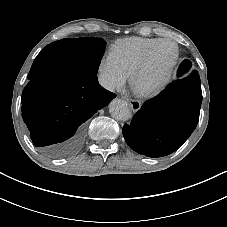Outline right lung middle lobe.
Wrapping results in <instances>:
<instances>
[{"label":"right lung middle lobe","mask_w":227,"mask_h":227,"mask_svg":"<svg viewBox=\"0 0 227 227\" xmlns=\"http://www.w3.org/2000/svg\"><path fill=\"white\" fill-rule=\"evenodd\" d=\"M73 46L62 62V66L75 75L96 76L104 53L106 42L103 39L88 37L72 39ZM45 76L39 69L32 67L28 79Z\"/></svg>","instance_id":"dd1d6c3e"}]
</instances>
